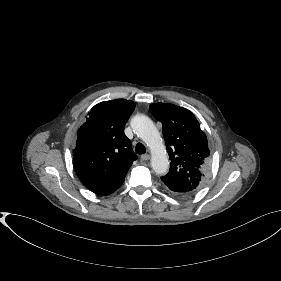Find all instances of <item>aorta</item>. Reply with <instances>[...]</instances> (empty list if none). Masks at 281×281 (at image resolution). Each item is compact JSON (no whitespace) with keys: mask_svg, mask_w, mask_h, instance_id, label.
Wrapping results in <instances>:
<instances>
[{"mask_svg":"<svg viewBox=\"0 0 281 281\" xmlns=\"http://www.w3.org/2000/svg\"><path fill=\"white\" fill-rule=\"evenodd\" d=\"M131 126L151 150L152 169L157 174H166L169 169V159L160 133L153 121L145 115H136L131 121Z\"/></svg>","mask_w":281,"mask_h":281,"instance_id":"1","label":"aorta"}]
</instances>
